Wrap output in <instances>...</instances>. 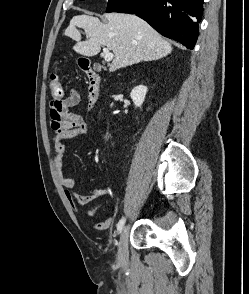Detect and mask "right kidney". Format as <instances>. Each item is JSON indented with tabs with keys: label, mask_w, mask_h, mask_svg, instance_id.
<instances>
[{
	"label": "right kidney",
	"mask_w": 249,
	"mask_h": 294,
	"mask_svg": "<svg viewBox=\"0 0 249 294\" xmlns=\"http://www.w3.org/2000/svg\"><path fill=\"white\" fill-rule=\"evenodd\" d=\"M146 93H147V87L144 85H139L132 89L130 93V97L136 107H141V105L143 104L145 100Z\"/></svg>",
	"instance_id": "ca27d5eb"
}]
</instances>
